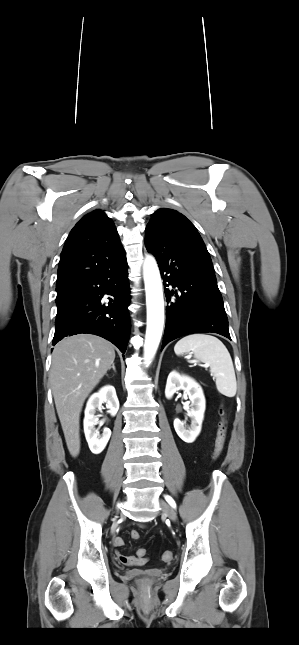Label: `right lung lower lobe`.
I'll use <instances>...</instances> for the list:
<instances>
[{
	"label": "right lung lower lobe",
	"instance_id": "1",
	"mask_svg": "<svg viewBox=\"0 0 299 645\" xmlns=\"http://www.w3.org/2000/svg\"><path fill=\"white\" fill-rule=\"evenodd\" d=\"M126 256L119 263L80 281L57 306L53 345L62 338L80 333L101 336L125 353L130 318V289ZM104 294L112 296L108 305ZM124 356V355H123Z\"/></svg>",
	"mask_w": 299,
	"mask_h": 645
}]
</instances>
